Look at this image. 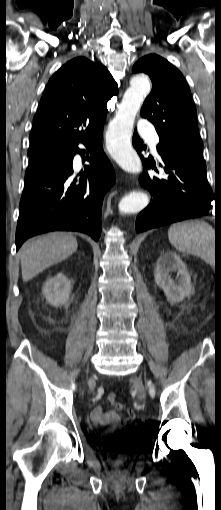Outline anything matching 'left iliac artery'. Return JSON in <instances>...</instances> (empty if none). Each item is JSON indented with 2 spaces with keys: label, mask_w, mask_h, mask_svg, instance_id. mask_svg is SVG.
<instances>
[{
  "label": "left iliac artery",
  "mask_w": 221,
  "mask_h": 510,
  "mask_svg": "<svg viewBox=\"0 0 221 510\" xmlns=\"http://www.w3.org/2000/svg\"><path fill=\"white\" fill-rule=\"evenodd\" d=\"M148 385H149V383H148ZM150 395H151L152 397H154V395H155L154 389H153V388H151V387H150Z\"/></svg>",
  "instance_id": "left-iliac-artery-1"
}]
</instances>
